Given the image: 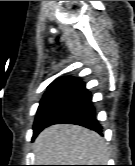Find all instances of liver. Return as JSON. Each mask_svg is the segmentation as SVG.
Listing matches in <instances>:
<instances>
[{
  "instance_id": "1",
  "label": "liver",
  "mask_w": 135,
  "mask_h": 166,
  "mask_svg": "<svg viewBox=\"0 0 135 166\" xmlns=\"http://www.w3.org/2000/svg\"><path fill=\"white\" fill-rule=\"evenodd\" d=\"M33 152L38 165H104L109 156L98 133L70 124L44 129L35 139Z\"/></svg>"
}]
</instances>
